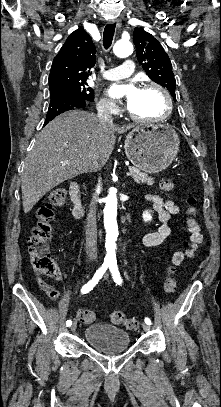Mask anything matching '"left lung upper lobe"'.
<instances>
[{
	"label": "left lung upper lobe",
	"instance_id": "left-lung-upper-lobe-1",
	"mask_svg": "<svg viewBox=\"0 0 221 407\" xmlns=\"http://www.w3.org/2000/svg\"><path fill=\"white\" fill-rule=\"evenodd\" d=\"M133 40L137 49L138 62L146 74L154 82L166 87L176 100V81L172 72V64L162 45L141 28L134 29Z\"/></svg>",
	"mask_w": 221,
	"mask_h": 407
}]
</instances>
